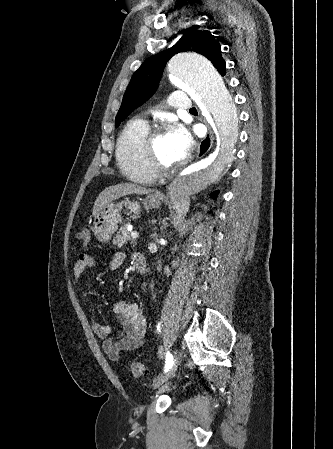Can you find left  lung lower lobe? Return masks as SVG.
I'll use <instances>...</instances> for the list:
<instances>
[{
  "label": "left lung lower lobe",
  "instance_id": "1",
  "mask_svg": "<svg viewBox=\"0 0 333 449\" xmlns=\"http://www.w3.org/2000/svg\"><path fill=\"white\" fill-rule=\"evenodd\" d=\"M222 75V74H221ZM224 76V75H223ZM217 193H218V191H216V192H214V193H212L211 195H212V197H216V195H217Z\"/></svg>",
  "mask_w": 333,
  "mask_h": 449
}]
</instances>
